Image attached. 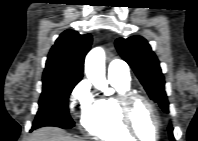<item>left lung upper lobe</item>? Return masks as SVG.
<instances>
[{"label": "left lung upper lobe", "mask_w": 198, "mask_h": 141, "mask_svg": "<svg viewBox=\"0 0 198 141\" xmlns=\"http://www.w3.org/2000/svg\"><path fill=\"white\" fill-rule=\"evenodd\" d=\"M115 46L121 57L134 70L150 98L168 113L164 77L159 61L148 42L141 36H132L127 39L118 38ZM172 131V127H169L170 139L174 141Z\"/></svg>", "instance_id": "obj_1"}]
</instances>
